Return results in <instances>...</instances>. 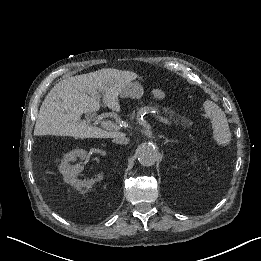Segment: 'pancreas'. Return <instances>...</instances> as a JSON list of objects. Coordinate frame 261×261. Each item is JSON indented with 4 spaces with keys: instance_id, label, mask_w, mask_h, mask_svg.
Instances as JSON below:
<instances>
[{
    "instance_id": "cf45deb5",
    "label": "pancreas",
    "mask_w": 261,
    "mask_h": 261,
    "mask_svg": "<svg viewBox=\"0 0 261 261\" xmlns=\"http://www.w3.org/2000/svg\"><path fill=\"white\" fill-rule=\"evenodd\" d=\"M149 109L154 110L155 112L159 111L160 114L171 117L172 120H174L178 124H184L191 131H194L196 129L194 123L187 116L179 114L176 110H173L169 106H165L162 102H156L155 104L141 103L139 106L131 108L128 114V123H133V121L136 119V115L139 112Z\"/></svg>"
}]
</instances>
